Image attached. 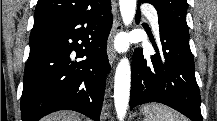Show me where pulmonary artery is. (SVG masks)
I'll use <instances>...</instances> for the list:
<instances>
[{"label":"pulmonary artery","mask_w":217,"mask_h":121,"mask_svg":"<svg viewBox=\"0 0 217 121\" xmlns=\"http://www.w3.org/2000/svg\"><path fill=\"white\" fill-rule=\"evenodd\" d=\"M142 12L149 18L152 28L156 34L159 33V18L157 13H155L150 7L144 6Z\"/></svg>","instance_id":"e3ab8cb5"}]
</instances>
